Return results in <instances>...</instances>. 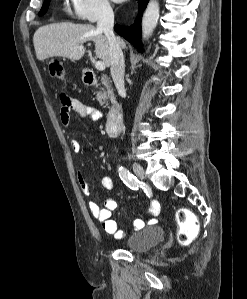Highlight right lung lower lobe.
Returning <instances> with one entry per match:
<instances>
[{"label":"right lung lower lobe","instance_id":"obj_1","mask_svg":"<svg viewBox=\"0 0 247 299\" xmlns=\"http://www.w3.org/2000/svg\"><path fill=\"white\" fill-rule=\"evenodd\" d=\"M149 0H138L139 13L131 27L115 25L114 30L117 34L129 41L139 52H142L141 43V12L146 8Z\"/></svg>","mask_w":247,"mask_h":299}]
</instances>
